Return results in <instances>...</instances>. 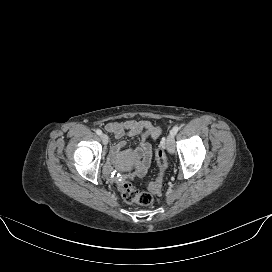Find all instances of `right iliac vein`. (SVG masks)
Returning a JSON list of instances; mask_svg holds the SVG:
<instances>
[{"mask_svg": "<svg viewBox=\"0 0 272 272\" xmlns=\"http://www.w3.org/2000/svg\"><path fill=\"white\" fill-rule=\"evenodd\" d=\"M100 137L104 145L108 144L109 138L106 134H101Z\"/></svg>", "mask_w": 272, "mask_h": 272, "instance_id": "1", "label": "right iliac vein"}]
</instances>
